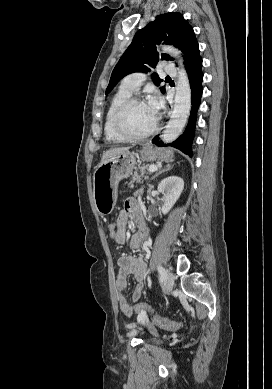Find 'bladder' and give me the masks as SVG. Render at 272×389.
Returning <instances> with one entry per match:
<instances>
[{"mask_svg": "<svg viewBox=\"0 0 272 389\" xmlns=\"http://www.w3.org/2000/svg\"><path fill=\"white\" fill-rule=\"evenodd\" d=\"M152 342H153L154 344H159V343H160V340L154 339Z\"/></svg>", "mask_w": 272, "mask_h": 389, "instance_id": "1", "label": "bladder"}]
</instances>
